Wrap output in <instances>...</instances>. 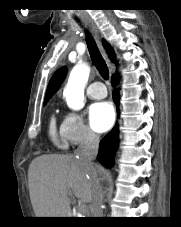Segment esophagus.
Returning a JSON list of instances; mask_svg holds the SVG:
<instances>
[{"mask_svg": "<svg viewBox=\"0 0 181 227\" xmlns=\"http://www.w3.org/2000/svg\"><path fill=\"white\" fill-rule=\"evenodd\" d=\"M88 26L91 28L92 32L94 33L95 37L97 38V30L95 28V26L91 23H87Z\"/></svg>", "mask_w": 181, "mask_h": 227, "instance_id": "34e87169", "label": "esophagus"}]
</instances>
